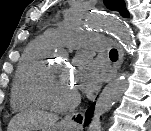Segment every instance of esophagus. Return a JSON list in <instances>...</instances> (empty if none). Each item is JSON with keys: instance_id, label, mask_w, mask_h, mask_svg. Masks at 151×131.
<instances>
[{"instance_id": "obj_1", "label": "esophagus", "mask_w": 151, "mask_h": 131, "mask_svg": "<svg viewBox=\"0 0 151 131\" xmlns=\"http://www.w3.org/2000/svg\"><path fill=\"white\" fill-rule=\"evenodd\" d=\"M116 45H117L118 53H119V60L116 65V70H118L123 63L124 51L118 42H116ZM66 120L71 122L72 124L82 128L83 124H84V114L81 112H75L73 114L68 115L66 117Z\"/></svg>"}]
</instances>
